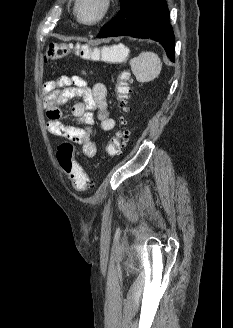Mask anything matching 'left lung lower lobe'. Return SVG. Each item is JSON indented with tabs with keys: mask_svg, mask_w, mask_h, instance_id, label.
Returning a JSON list of instances; mask_svg holds the SVG:
<instances>
[{
	"mask_svg": "<svg viewBox=\"0 0 233 328\" xmlns=\"http://www.w3.org/2000/svg\"><path fill=\"white\" fill-rule=\"evenodd\" d=\"M168 21L165 0H125L116 17L100 30L97 38L122 35L150 38L161 43L174 61V33Z\"/></svg>",
	"mask_w": 233,
	"mask_h": 328,
	"instance_id": "1",
	"label": "left lung lower lobe"
}]
</instances>
